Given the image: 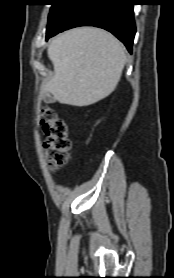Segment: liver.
<instances>
[{"mask_svg": "<svg viewBox=\"0 0 174 278\" xmlns=\"http://www.w3.org/2000/svg\"><path fill=\"white\" fill-rule=\"evenodd\" d=\"M54 76L42 86L61 104L89 106L110 95L116 88L126 55L118 39L109 32L81 27L66 31L47 49Z\"/></svg>", "mask_w": 174, "mask_h": 278, "instance_id": "1", "label": "liver"}]
</instances>
